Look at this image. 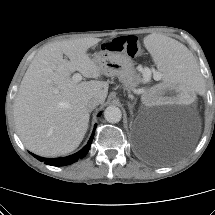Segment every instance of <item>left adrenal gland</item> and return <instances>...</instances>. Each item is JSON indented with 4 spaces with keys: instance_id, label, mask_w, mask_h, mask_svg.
Masks as SVG:
<instances>
[{
    "instance_id": "obj_1",
    "label": "left adrenal gland",
    "mask_w": 215,
    "mask_h": 215,
    "mask_svg": "<svg viewBox=\"0 0 215 215\" xmlns=\"http://www.w3.org/2000/svg\"><path fill=\"white\" fill-rule=\"evenodd\" d=\"M128 107H129V110H130V112L132 114V109L134 108V103L131 104V103L128 102Z\"/></svg>"
}]
</instances>
